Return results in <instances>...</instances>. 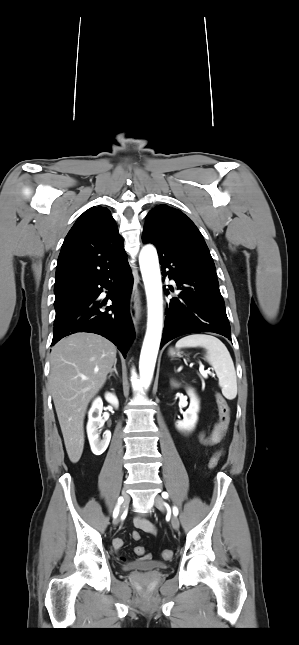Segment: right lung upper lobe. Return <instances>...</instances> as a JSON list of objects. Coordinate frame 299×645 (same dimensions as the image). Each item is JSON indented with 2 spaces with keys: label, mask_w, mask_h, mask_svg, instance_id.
<instances>
[{
  "label": "right lung upper lobe",
  "mask_w": 299,
  "mask_h": 645,
  "mask_svg": "<svg viewBox=\"0 0 299 645\" xmlns=\"http://www.w3.org/2000/svg\"><path fill=\"white\" fill-rule=\"evenodd\" d=\"M126 257L110 211L92 207L77 219L63 242L54 291L83 285L115 269Z\"/></svg>",
  "instance_id": "right-lung-upper-lobe-1"
}]
</instances>
